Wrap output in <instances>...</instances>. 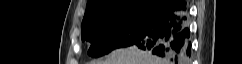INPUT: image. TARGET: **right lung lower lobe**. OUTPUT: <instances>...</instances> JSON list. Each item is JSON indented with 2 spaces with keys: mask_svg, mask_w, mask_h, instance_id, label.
Instances as JSON below:
<instances>
[{
  "mask_svg": "<svg viewBox=\"0 0 242 64\" xmlns=\"http://www.w3.org/2000/svg\"><path fill=\"white\" fill-rule=\"evenodd\" d=\"M185 0H173L158 22L133 45L172 64H186L191 56Z\"/></svg>",
  "mask_w": 242,
  "mask_h": 64,
  "instance_id": "98d812e1",
  "label": "right lung lower lobe"
}]
</instances>
